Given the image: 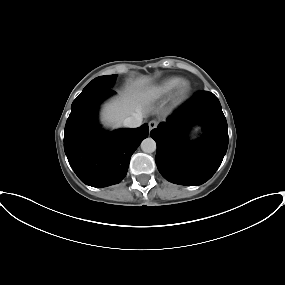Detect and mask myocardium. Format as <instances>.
<instances>
[{"label": "myocardium", "mask_w": 285, "mask_h": 285, "mask_svg": "<svg viewBox=\"0 0 285 285\" xmlns=\"http://www.w3.org/2000/svg\"><path fill=\"white\" fill-rule=\"evenodd\" d=\"M192 86L188 80H182L176 88L174 100L177 104L186 101L191 93Z\"/></svg>", "instance_id": "myocardium-1"}]
</instances>
